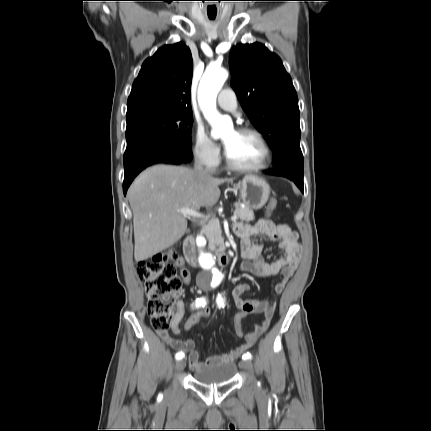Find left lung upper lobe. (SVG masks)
<instances>
[{"label":"left lung upper lobe","instance_id":"1","mask_svg":"<svg viewBox=\"0 0 431 431\" xmlns=\"http://www.w3.org/2000/svg\"><path fill=\"white\" fill-rule=\"evenodd\" d=\"M231 85L243 110L273 151V165L303 161L298 97L281 59L263 44H240L230 52Z\"/></svg>","mask_w":431,"mask_h":431}]
</instances>
